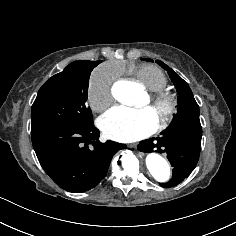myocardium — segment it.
Listing matches in <instances>:
<instances>
[{
  "label": "myocardium",
  "mask_w": 236,
  "mask_h": 236,
  "mask_svg": "<svg viewBox=\"0 0 236 236\" xmlns=\"http://www.w3.org/2000/svg\"><path fill=\"white\" fill-rule=\"evenodd\" d=\"M150 108L162 113L161 120L155 118L154 131L161 132L169 128L179 111L177 97L167 91L160 90L152 94L149 98Z\"/></svg>",
  "instance_id": "f54148a6"
}]
</instances>
